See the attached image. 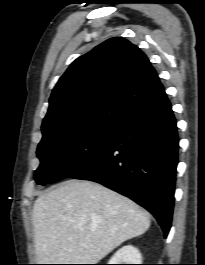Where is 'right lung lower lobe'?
<instances>
[{"instance_id": "98d812e1", "label": "right lung lower lobe", "mask_w": 205, "mask_h": 265, "mask_svg": "<svg viewBox=\"0 0 205 265\" xmlns=\"http://www.w3.org/2000/svg\"><path fill=\"white\" fill-rule=\"evenodd\" d=\"M179 138L164 93L154 104L124 120L111 142L71 177L100 183L146 208L165 237L171 227Z\"/></svg>"}]
</instances>
